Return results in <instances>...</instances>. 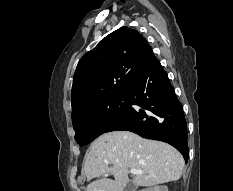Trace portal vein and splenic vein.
Masks as SVG:
<instances>
[{"instance_id": "portal-vein-and-splenic-vein-1", "label": "portal vein and splenic vein", "mask_w": 233, "mask_h": 191, "mask_svg": "<svg viewBox=\"0 0 233 191\" xmlns=\"http://www.w3.org/2000/svg\"><path fill=\"white\" fill-rule=\"evenodd\" d=\"M130 172H131V174H134V175L143 174L142 171L136 170V169H134V168H131V169H130Z\"/></svg>"}]
</instances>
